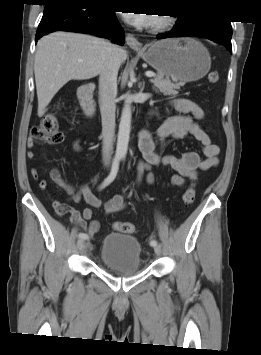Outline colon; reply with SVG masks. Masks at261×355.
<instances>
[{"label":"colon","mask_w":261,"mask_h":355,"mask_svg":"<svg viewBox=\"0 0 261 355\" xmlns=\"http://www.w3.org/2000/svg\"><path fill=\"white\" fill-rule=\"evenodd\" d=\"M220 75L217 71L209 74L208 80L210 83L219 81ZM31 139L34 142H42L50 145H57L63 142V133L59 130V124L56 117L52 115L45 116L41 122L31 130ZM195 187L191 183L183 195V201L186 206L192 204L195 200ZM114 228L121 233H134L136 226L130 222H115Z\"/></svg>","instance_id":"colon-1"}]
</instances>
